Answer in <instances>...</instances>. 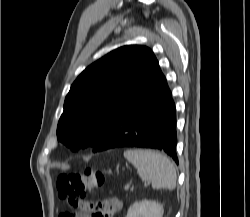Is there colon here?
<instances>
[{"instance_id": "obj_1", "label": "colon", "mask_w": 250, "mask_h": 217, "mask_svg": "<svg viewBox=\"0 0 250 217\" xmlns=\"http://www.w3.org/2000/svg\"><path fill=\"white\" fill-rule=\"evenodd\" d=\"M104 183V176L100 171L86 168L60 174L57 178V189L63 199L68 200L71 208H79L89 217H102L100 202H86L83 198L90 192L100 188ZM75 212H64L59 217H73Z\"/></svg>"}]
</instances>
